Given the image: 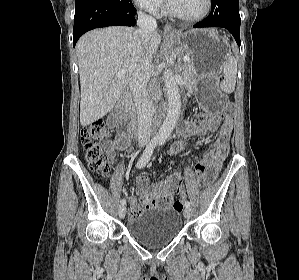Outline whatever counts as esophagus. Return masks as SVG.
<instances>
[{
	"mask_svg": "<svg viewBox=\"0 0 299 280\" xmlns=\"http://www.w3.org/2000/svg\"><path fill=\"white\" fill-rule=\"evenodd\" d=\"M164 33L166 34H174L175 33V29L172 25L170 24H165L164 25Z\"/></svg>",
	"mask_w": 299,
	"mask_h": 280,
	"instance_id": "34e87169",
	"label": "esophagus"
}]
</instances>
